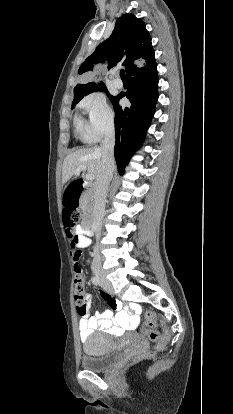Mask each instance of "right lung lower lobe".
Returning a JSON list of instances; mask_svg holds the SVG:
<instances>
[{
  "mask_svg": "<svg viewBox=\"0 0 233 414\" xmlns=\"http://www.w3.org/2000/svg\"><path fill=\"white\" fill-rule=\"evenodd\" d=\"M130 87L126 93H120L112 101L115 110V159L119 173L129 159L143 143L146 130L155 113L158 99L157 65L148 72L129 78ZM127 97L131 106L121 107L119 100Z\"/></svg>",
  "mask_w": 233,
  "mask_h": 414,
  "instance_id": "98d812e1",
  "label": "right lung lower lobe"
}]
</instances>
